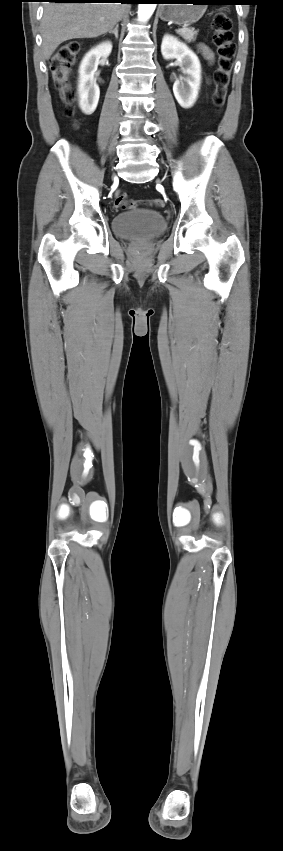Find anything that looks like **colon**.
Masks as SVG:
<instances>
[{
    "label": "colon",
    "mask_w": 283,
    "mask_h": 851,
    "mask_svg": "<svg viewBox=\"0 0 283 851\" xmlns=\"http://www.w3.org/2000/svg\"><path fill=\"white\" fill-rule=\"evenodd\" d=\"M212 29L213 41L218 54V68L214 77L215 88L212 100L217 108H221L227 97L230 75L236 56V46L232 31V21L224 11H220L214 15ZM81 50L82 44L79 41L67 42L58 48L49 61V69L52 77L60 87L62 96L67 102L73 99V93L68 83L71 67ZM68 113L71 114L72 110L69 109ZM148 203H153L156 207L160 208L165 205L164 200L161 198L148 201ZM135 206L136 202L131 200L125 192L120 193L115 199V207L117 209H127Z\"/></svg>",
    "instance_id": "1"
}]
</instances>
